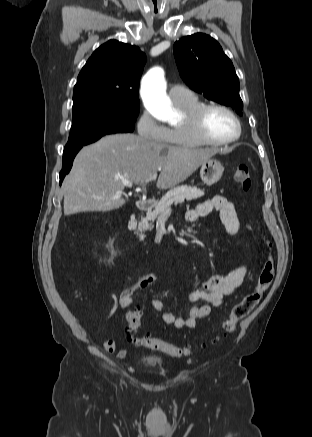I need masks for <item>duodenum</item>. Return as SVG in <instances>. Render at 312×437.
Instances as JSON below:
<instances>
[{"instance_id":"duodenum-1","label":"duodenum","mask_w":312,"mask_h":437,"mask_svg":"<svg viewBox=\"0 0 312 437\" xmlns=\"http://www.w3.org/2000/svg\"><path fill=\"white\" fill-rule=\"evenodd\" d=\"M154 201L151 198H142L137 200L136 202V209L138 211H143L148 208H150L153 205ZM136 226V218L132 216L126 225V235L129 237L131 233L133 232L134 228Z\"/></svg>"}]
</instances>
